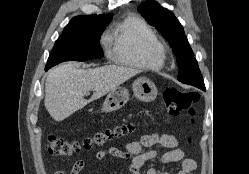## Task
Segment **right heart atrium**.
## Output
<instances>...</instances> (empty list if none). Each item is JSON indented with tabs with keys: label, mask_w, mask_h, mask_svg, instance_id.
Here are the masks:
<instances>
[{
	"label": "right heart atrium",
	"mask_w": 249,
	"mask_h": 174,
	"mask_svg": "<svg viewBox=\"0 0 249 174\" xmlns=\"http://www.w3.org/2000/svg\"><path fill=\"white\" fill-rule=\"evenodd\" d=\"M103 42L106 44L107 43V37L103 38Z\"/></svg>",
	"instance_id": "1"
}]
</instances>
